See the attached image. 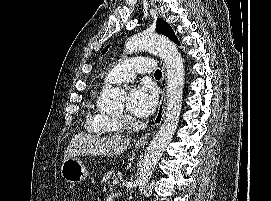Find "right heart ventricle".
I'll use <instances>...</instances> for the list:
<instances>
[{"label":"right heart ventricle","instance_id":"e07e8e85","mask_svg":"<svg viewBox=\"0 0 271 201\" xmlns=\"http://www.w3.org/2000/svg\"><path fill=\"white\" fill-rule=\"evenodd\" d=\"M86 127L89 132L96 135L117 134L123 128L116 117L94 109L91 101L88 104Z\"/></svg>","mask_w":271,"mask_h":201}]
</instances>
